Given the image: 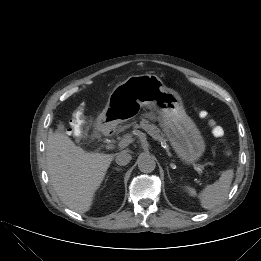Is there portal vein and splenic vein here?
I'll list each match as a JSON object with an SVG mask.
<instances>
[{
	"instance_id": "18ae733b",
	"label": "portal vein and splenic vein",
	"mask_w": 261,
	"mask_h": 261,
	"mask_svg": "<svg viewBox=\"0 0 261 261\" xmlns=\"http://www.w3.org/2000/svg\"><path fill=\"white\" fill-rule=\"evenodd\" d=\"M133 138L131 135H125L123 137V139L119 142L118 147L120 148H125L126 146H128L130 143H132ZM196 168L198 171L203 172L204 168H202L200 165H196ZM207 178L211 179L210 176L208 175V173L206 172Z\"/></svg>"
}]
</instances>
